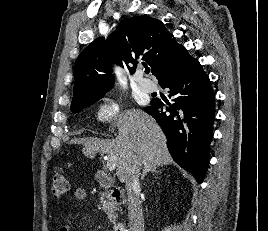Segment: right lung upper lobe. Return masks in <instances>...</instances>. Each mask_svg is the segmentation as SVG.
<instances>
[{"mask_svg": "<svg viewBox=\"0 0 268 231\" xmlns=\"http://www.w3.org/2000/svg\"><path fill=\"white\" fill-rule=\"evenodd\" d=\"M137 60L147 63L159 81L194 58L175 41L162 21L148 16L125 19L107 40L97 38L78 56L71 105L104 96L114 83L111 62L134 73Z\"/></svg>", "mask_w": 268, "mask_h": 231, "instance_id": "obj_1", "label": "right lung upper lobe"}]
</instances>
